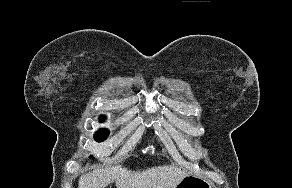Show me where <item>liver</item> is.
Here are the masks:
<instances>
[{
  "label": "liver",
  "instance_id": "liver-1",
  "mask_svg": "<svg viewBox=\"0 0 292 188\" xmlns=\"http://www.w3.org/2000/svg\"><path fill=\"white\" fill-rule=\"evenodd\" d=\"M188 174L174 165L132 171L121 165L96 169L82 175L78 188H105L115 181L117 188H175Z\"/></svg>",
  "mask_w": 292,
  "mask_h": 188
}]
</instances>
